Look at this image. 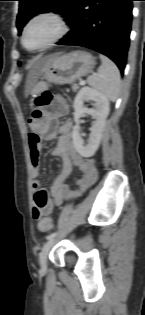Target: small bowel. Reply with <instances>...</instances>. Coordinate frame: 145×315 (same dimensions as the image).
<instances>
[{"mask_svg": "<svg viewBox=\"0 0 145 315\" xmlns=\"http://www.w3.org/2000/svg\"><path fill=\"white\" fill-rule=\"evenodd\" d=\"M72 127V123L67 121L57 131L59 137L57 144L52 149V154L61 159L62 169L50 186V202H48L46 189L41 188V183L38 180L42 141L35 133H30L27 139L28 147H30V166L33 178L32 188L36 192L34 195L36 206L33 208V217L37 221L38 229L42 216H50L55 207L60 206L64 200L80 195L92 186L97 179L94 160L82 157L74 146L72 141ZM35 132L41 134L46 140L53 136V133L45 127H36ZM74 167L78 168L81 177L76 182L77 189L71 190L66 184V180ZM51 224L53 226V220Z\"/></svg>", "mask_w": 145, "mask_h": 315, "instance_id": "obj_1", "label": "small bowel"}]
</instances>
